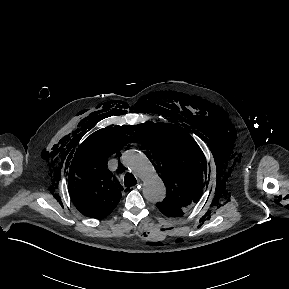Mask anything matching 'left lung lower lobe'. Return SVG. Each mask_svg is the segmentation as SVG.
Returning <instances> with one entry per match:
<instances>
[{"label": "left lung lower lobe", "instance_id": "obj_1", "mask_svg": "<svg viewBox=\"0 0 289 289\" xmlns=\"http://www.w3.org/2000/svg\"><path fill=\"white\" fill-rule=\"evenodd\" d=\"M164 215L168 216V217H178L180 215L171 213V212H167V211H161Z\"/></svg>", "mask_w": 289, "mask_h": 289}]
</instances>
